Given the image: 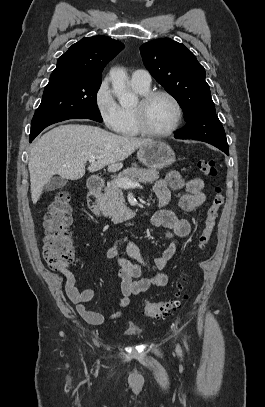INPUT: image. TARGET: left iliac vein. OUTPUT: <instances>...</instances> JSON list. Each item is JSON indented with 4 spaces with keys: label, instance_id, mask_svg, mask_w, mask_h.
Instances as JSON below:
<instances>
[{
    "label": "left iliac vein",
    "instance_id": "left-iliac-vein-1",
    "mask_svg": "<svg viewBox=\"0 0 265 407\" xmlns=\"http://www.w3.org/2000/svg\"><path fill=\"white\" fill-rule=\"evenodd\" d=\"M176 351H177V353H178V354H180V353H181V349H180V347H179V346H177V347H176Z\"/></svg>",
    "mask_w": 265,
    "mask_h": 407
}]
</instances>
